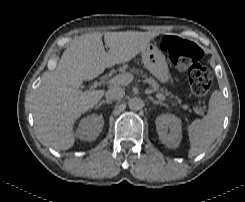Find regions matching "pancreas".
I'll return each mask as SVG.
<instances>
[{
	"label": "pancreas",
	"instance_id": "pancreas-1",
	"mask_svg": "<svg viewBox=\"0 0 245 202\" xmlns=\"http://www.w3.org/2000/svg\"><path fill=\"white\" fill-rule=\"evenodd\" d=\"M145 78H146L147 82L150 83V84L152 85V87L154 88V90L157 91L158 93H161V94H163L164 96H170V98H173V97H174V96H173L172 94H170V92H168L167 90H164V89L160 88L158 82H157L155 79H153V78H151V77L147 78L146 76H145ZM177 100H178V103L181 102L180 99H177ZM173 105L176 106L177 103H173ZM182 107H183V108H186V106H184V105H183Z\"/></svg>",
	"mask_w": 245,
	"mask_h": 202
}]
</instances>
